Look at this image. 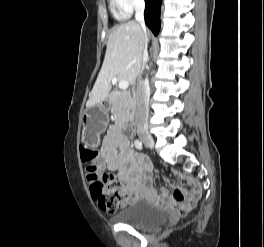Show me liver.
Returning <instances> with one entry per match:
<instances>
[{"instance_id": "1", "label": "liver", "mask_w": 264, "mask_h": 247, "mask_svg": "<svg viewBox=\"0 0 264 247\" xmlns=\"http://www.w3.org/2000/svg\"><path fill=\"white\" fill-rule=\"evenodd\" d=\"M148 34L134 21L120 25L108 38L102 68L89 95L86 107L103 102L111 90V81L126 80L134 84L142 66L141 47Z\"/></svg>"}]
</instances>
